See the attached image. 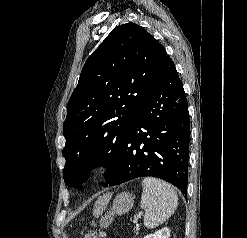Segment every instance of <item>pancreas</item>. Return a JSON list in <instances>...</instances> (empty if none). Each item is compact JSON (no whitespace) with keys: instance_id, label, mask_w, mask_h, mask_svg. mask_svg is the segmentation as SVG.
<instances>
[{"instance_id":"cf45deb5","label":"pancreas","mask_w":247,"mask_h":238,"mask_svg":"<svg viewBox=\"0 0 247 238\" xmlns=\"http://www.w3.org/2000/svg\"><path fill=\"white\" fill-rule=\"evenodd\" d=\"M138 231H139V225L136 226V229L134 231L136 233V235L138 234Z\"/></svg>"}]
</instances>
